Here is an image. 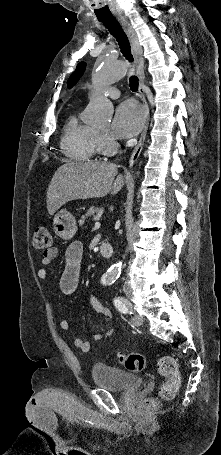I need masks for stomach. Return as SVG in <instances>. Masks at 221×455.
<instances>
[{"label":"stomach","mask_w":221,"mask_h":455,"mask_svg":"<svg viewBox=\"0 0 221 455\" xmlns=\"http://www.w3.org/2000/svg\"><path fill=\"white\" fill-rule=\"evenodd\" d=\"M53 230L64 240L72 239L77 232L75 217L67 210L59 211L53 218Z\"/></svg>","instance_id":"obj_1"}]
</instances>
